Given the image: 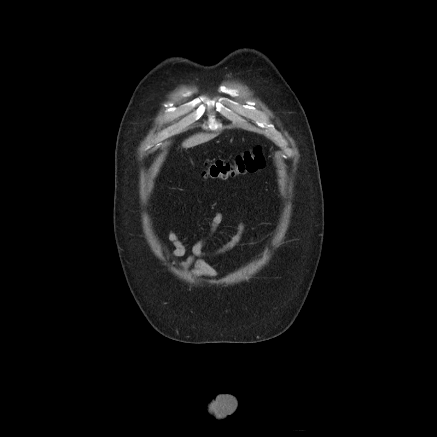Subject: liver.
I'll list each match as a JSON object with an SVG mask.
<instances>
[{
  "label": "liver",
  "mask_w": 437,
  "mask_h": 437,
  "mask_svg": "<svg viewBox=\"0 0 437 437\" xmlns=\"http://www.w3.org/2000/svg\"><path fill=\"white\" fill-rule=\"evenodd\" d=\"M217 134H209V133H199L191 136L187 140L182 143L183 148H192L194 146L203 144L215 138Z\"/></svg>",
  "instance_id": "liver-1"
}]
</instances>
